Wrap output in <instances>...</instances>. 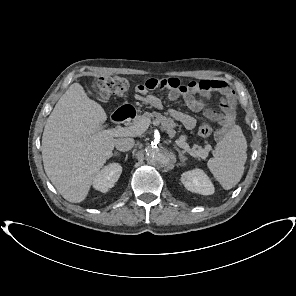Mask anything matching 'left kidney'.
I'll list each match as a JSON object with an SVG mask.
<instances>
[{"mask_svg":"<svg viewBox=\"0 0 296 296\" xmlns=\"http://www.w3.org/2000/svg\"><path fill=\"white\" fill-rule=\"evenodd\" d=\"M181 182L184 187L191 192L202 195H212L214 193V185L201 169H193L183 173Z\"/></svg>","mask_w":296,"mask_h":296,"instance_id":"1","label":"left kidney"}]
</instances>
